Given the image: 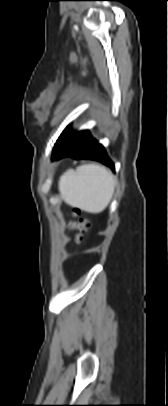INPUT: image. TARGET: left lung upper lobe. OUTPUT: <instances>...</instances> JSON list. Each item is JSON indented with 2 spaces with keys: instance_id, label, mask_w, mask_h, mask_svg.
Masks as SVG:
<instances>
[{
  "instance_id": "obj_1",
  "label": "left lung upper lobe",
  "mask_w": 168,
  "mask_h": 406,
  "mask_svg": "<svg viewBox=\"0 0 168 406\" xmlns=\"http://www.w3.org/2000/svg\"><path fill=\"white\" fill-rule=\"evenodd\" d=\"M78 135V133H72L69 131V126L64 130V132L61 134V136L59 137L56 145H55V149L68 143L69 141H71L73 138H75Z\"/></svg>"
}]
</instances>
